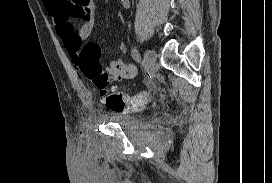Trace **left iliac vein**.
Masks as SVG:
<instances>
[{
    "mask_svg": "<svg viewBox=\"0 0 272 183\" xmlns=\"http://www.w3.org/2000/svg\"><path fill=\"white\" fill-rule=\"evenodd\" d=\"M157 54L154 50H146L144 54L143 64L147 70L154 73L156 70Z\"/></svg>",
    "mask_w": 272,
    "mask_h": 183,
    "instance_id": "4c4485c4",
    "label": "left iliac vein"
}]
</instances>
